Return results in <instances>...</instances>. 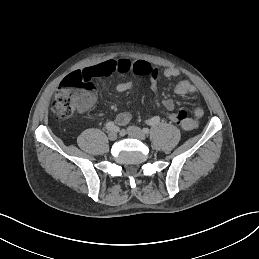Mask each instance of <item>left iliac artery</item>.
<instances>
[{
  "mask_svg": "<svg viewBox=\"0 0 259 259\" xmlns=\"http://www.w3.org/2000/svg\"><path fill=\"white\" fill-rule=\"evenodd\" d=\"M159 122H160V117H158V116H155V117L151 118L150 120H148V124L151 126H155V125L159 124ZM144 132L147 133L148 130L144 129Z\"/></svg>",
  "mask_w": 259,
  "mask_h": 259,
  "instance_id": "left-iliac-artery-1",
  "label": "left iliac artery"
}]
</instances>
